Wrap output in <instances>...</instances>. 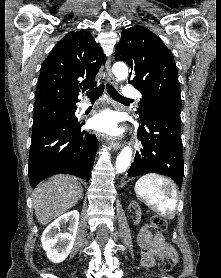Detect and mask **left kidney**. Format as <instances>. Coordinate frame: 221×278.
<instances>
[{
  "instance_id": "5707ae66",
  "label": "left kidney",
  "mask_w": 221,
  "mask_h": 278,
  "mask_svg": "<svg viewBox=\"0 0 221 278\" xmlns=\"http://www.w3.org/2000/svg\"><path fill=\"white\" fill-rule=\"evenodd\" d=\"M130 207L137 208L136 216H137V222H139L141 219V209H140L138 203L136 201H132L130 203Z\"/></svg>"
}]
</instances>
